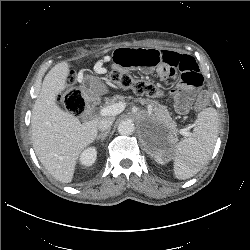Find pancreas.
Here are the masks:
<instances>
[{
	"label": "pancreas",
	"instance_id": "obj_1",
	"mask_svg": "<svg viewBox=\"0 0 250 250\" xmlns=\"http://www.w3.org/2000/svg\"><path fill=\"white\" fill-rule=\"evenodd\" d=\"M118 102H125V98L123 96H120V95H116L112 98H106L107 105H110L113 103H118ZM139 102H141L142 104H147L153 108V114H152L153 118L160 120V121L169 125L170 135H169L168 139L171 143H176L178 141V138L176 135L177 130L175 128L174 122L171 121L170 113L166 109V107L159 104L158 101H152L149 99H147V100L139 99Z\"/></svg>",
	"mask_w": 250,
	"mask_h": 250
}]
</instances>
